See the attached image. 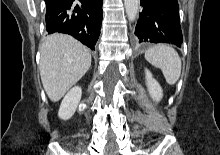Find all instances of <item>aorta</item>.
Wrapping results in <instances>:
<instances>
[{
    "instance_id": "762f6f07",
    "label": "aorta",
    "mask_w": 220,
    "mask_h": 155,
    "mask_svg": "<svg viewBox=\"0 0 220 155\" xmlns=\"http://www.w3.org/2000/svg\"><path fill=\"white\" fill-rule=\"evenodd\" d=\"M124 5L129 21L133 22L139 12L140 0H124Z\"/></svg>"
}]
</instances>
